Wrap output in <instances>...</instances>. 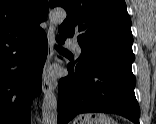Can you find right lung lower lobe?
I'll return each mask as SVG.
<instances>
[{
	"mask_svg": "<svg viewBox=\"0 0 156 124\" xmlns=\"http://www.w3.org/2000/svg\"><path fill=\"white\" fill-rule=\"evenodd\" d=\"M47 52L42 29L27 39L0 45V124L31 123L30 106L41 90Z\"/></svg>",
	"mask_w": 156,
	"mask_h": 124,
	"instance_id": "obj_1",
	"label": "right lung lower lobe"
}]
</instances>
